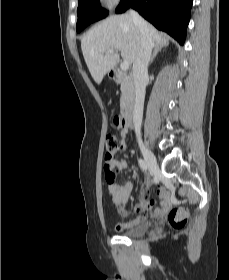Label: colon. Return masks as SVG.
Wrapping results in <instances>:
<instances>
[{
	"instance_id": "colon-1",
	"label": "colon",
	"mask_w": 229,
	"mask_h": 280,
	"mask_svg": "<svg viewBox=\"0 0 229 280\" xmlns=\"http://www.w3.org/2000/svg\"><path fill=\"white\" fill-rule=\"evenodd\" d=\"M119 124L117 119L111 121V126L116 128ZM121 150V141L114 133H109L105 142V180L107 183H115V173L112 169L113 158ZM187 212L184 208H172L168 214V220L172 227L179 229L186 224Z\"/></svg>"
}]
</instances>
